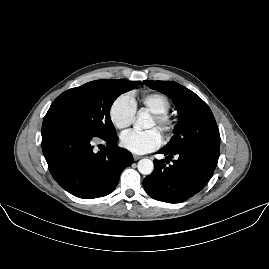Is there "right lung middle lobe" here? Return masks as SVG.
<instances>
[{
    "label": "right lung middle lobe",
    "mask_w": 269,
    "mask_h": 269,
    "mask_svg": "<svg viewBox=\"0 0 269 269\" xmlns=\"http://www.w3.org/2000/svg\"><path fill=\"white\" fill-rule=\"evenodd\" d=\"M140 81L95 80L59 95L47 114L66 118L98 137L116 136L110 108L121 94L132 90Z\"/></svg>",
    "instance_id": "obj_1"
}]
</instances>
